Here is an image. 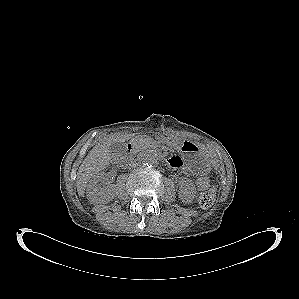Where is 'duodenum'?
<instances>
[{
	"mask_svg": "<svg viewBox=\"0 0 299 299\" xmlns=\"http://www.w3.org/2000/svg\"><path fill=\"white\" fill-rule=\"evenodd\" d=\"M127 152L129 154H133L135 152V145L133 142L128 143L127 145Z\"/></svg>",
	"mask_w": 299,
	"mask_h": 299,
	"instance_id": "obj_1",
	"label": "duodenum"
}]
</instances>
